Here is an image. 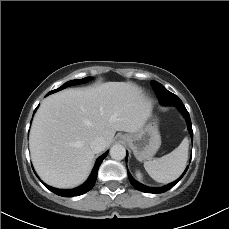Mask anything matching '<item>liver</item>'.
Masks as SVG:
<instances>
[{
  "instance_id": "6515ba94",
  "label": "liver",
  "mask_w": 229,
  "mask_h": 229,
  "mask_svg": "<svg viewBox=\"0 0 229 229\" xmlns=\"http://www.w3.org/2000/svg\"><path fill=\"white\" fill-rule=\"evenodd\" d=\"M151 112V103L130 82H106L50 95L41 103L30 131L33 166L51 186L76 187L92 169L95 152L90 143L103 137L105 148L110 146L116 131L137 132Z\"/></svg>"
}]
</instances>
